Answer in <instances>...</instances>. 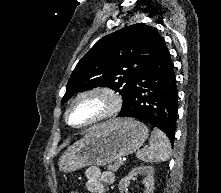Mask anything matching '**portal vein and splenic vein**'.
I'll return each mask as SVG.
<instances>
[{"mask_svg":"<svg viewBox=\"0 0 221 193\" xmlns=\"http://www.w3.org/2000/svg\"><path fill=\"white\" fill-rule=\"evenodd\" d=\"M120 162L123 163V159L120 158Z\"/></svg>","mask_w":221,"mask_h":193,"instance_id":"portal-vein-and-splenic-vein-1","label":"portal vein and splenic vein"}]
</instances>
